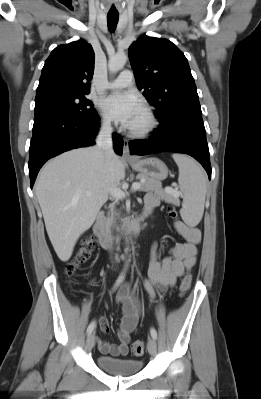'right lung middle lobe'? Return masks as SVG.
Wrapping results in <instances>:
<instances>
[{
  "instance_id": "1",
  "label": "right lung middle lobe",
  "mask_w": 261,
  "mask_h": 399,
  "mask_svg": "<svg viewBox=\"0 0 261 399\" xmlns=\"http://www.w3.org/2000/svg\"><path fill=\"white\" fill-rule=\"evenodd\" d=\"M56 112L82 120H91L97 115L92 102L84 94H60L35 99V117Z\"/></svg>"
}]
</instances>
